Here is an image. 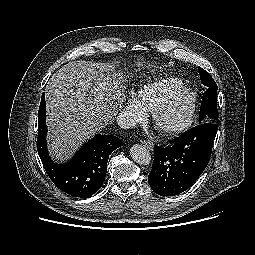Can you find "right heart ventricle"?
Returning a JSON list of instances; mask_svg holds the SVG:
<instances>
[{
    "instance_id": "1",
    "label": "right heart ventricle",
    "mask_w": 255,
    "mask_h": 255,
    "mask_svg": "<svg viewBox=\"0 0 255 255\" xmlns=\"http://www.w3.org/2000/svg\"><path fill=\"white\" fill-rule=\"evenodd\" d=\"M184 87L185 84L180 79L160 78L141 86L135 94V100L142 109L150 111Z\"/></svg>"
}]
</instances>
